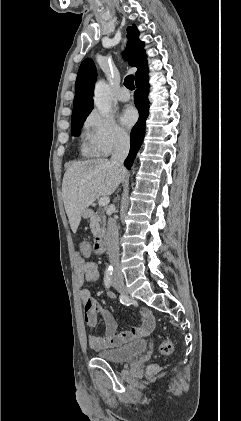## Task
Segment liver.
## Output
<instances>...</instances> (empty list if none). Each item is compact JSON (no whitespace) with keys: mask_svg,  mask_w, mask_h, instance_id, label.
<instances>
[{"mask_svg":"<svg viewBox=\"0 0 241 421\" xmlns=\"http://www.w3.org/2000/svg\"><path fill=\"white\" fill-rule=\"evenodd\" d=\"M126 175L107 159H92L71 164L63 177L62 198L73 233L83 212L99 197L114 193Z\"/></svg>","mask_w":241,"mask_h":421,"instance_id":"obj_1","label":"liver"}]
</instances>
